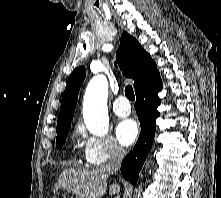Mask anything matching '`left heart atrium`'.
Listing matches in <instances>:
<instances>
[{
    "label": "left heart atrium",
    "mask_w": 221,
    "mask_h": 198,
    "mask_svg": "<svg viewBox=\"0 0 221 198\" xmlns=\"http://www.w3.org/2000/svg\"><path fill=\"white\" fill-rule=\"evenodd\" d=\"M138 133V126L132 119L123 120L116 127V137L124 146L131 145L136 140Z\"/></svg>",
    "instance_id": "1"
}]
</instances>
